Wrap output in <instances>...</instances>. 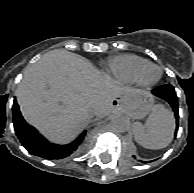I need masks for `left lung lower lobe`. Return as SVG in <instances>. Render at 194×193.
Listing matches in <instances>:
<instances>
[{"label": "left lung lower lobe", "mask_w": 194, "mask_h": 193, "mask_svg": "<svg viewBox=\"0 0 194 193\" xmlns=\"http://www.w3.org/2000/svg\"><path fill=\"white\" fill-rule=\"evenodd\" d=\"M153 94L166 100L171 105L176 117V130H178L179 127L178 103L174 87L170 84H166L158 89L153 90Z\"/></svg>", "instance_id": "obj_1"}]
</instances>
